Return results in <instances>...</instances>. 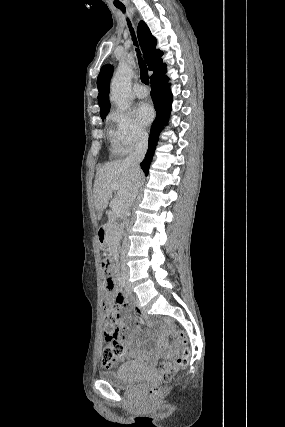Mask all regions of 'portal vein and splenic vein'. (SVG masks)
I'll use <instances>...</instances> for the list:
<instances>
[{"label": "portal vein and splenic vein", "mask_w": 285, "mask_h": 427, "mask_svg": "<svg viewBox=\"0 0 285 427\" xmlns=\"http://www.w3.org/2000/svg\"><path fill=\"white\" fill-rule=\"evenodd\" d=\"M118 187L117 184H112L111 185V190H116ZM123 207V202L121 200H115L114 204H113V214H119L122 210Z\"/></svg>", "instance_id": "18ae733b"}]
</instances>
